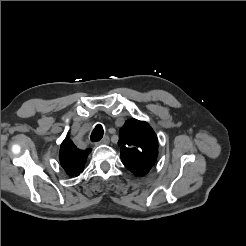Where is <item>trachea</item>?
I'll use <instances>...</instances> for the list:
<instances>
[{
    "label": "trachea",
    "mask_w": 246,
    "mask_h": 246,
    "mask_svg": "<svg viewBox=\"0 0 246 246\" xmlns=\"http://www.w3.org/2000/svg\"><path fill=\"white\" fill-rule=\"evenodd\" d=\"M103 133H104L103 127L100 124L96 125L90 136L91 141L92 142L100 141L103 137Z\"/></svg>",
    "instance_id": "3493384b"
}]
</instances>
